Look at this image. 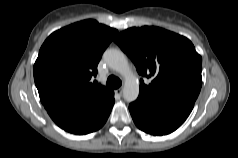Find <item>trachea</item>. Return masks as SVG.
Masks as SVG:
<instances>
[{
    "label": "trachea",
    "instance_id": "3493384b",
    "mask_svg": "<svg viewBox=\"0 0 238 158\" xmlns=\"http://www.w3.org/2000/svg\"><path fill=\"white\" fill-rule=\"evenodd\" d=\"M122 85L121 80L116 76H109L107 79V86L113 89H117Z\"/></svg>",
    "mask_w": 238,
    "mask_h": 158
}]
</instances>
